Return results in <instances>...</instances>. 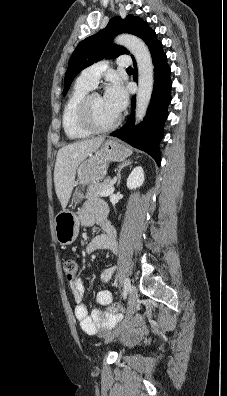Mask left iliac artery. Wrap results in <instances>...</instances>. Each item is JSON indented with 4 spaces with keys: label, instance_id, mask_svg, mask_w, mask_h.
Segmentation results:
<instances>
[{
    "label": "left iliac artery",
    "instance_id": "left-iliac-artery-1",
    "mask_svg": "<svg viewBox=\"0 0 227 396\" xmlns=\"http://www.w3.org/2000/svg\"><path fill=\"white\" fill-rule=\"evenodd\" d=\"M129 289H130V280H129V278H125L124 287H123V294H122L123 299L126 298Z\"/></svg>",
    "mask_w": 227,
    "mask_h": 396
}]
</instances>
